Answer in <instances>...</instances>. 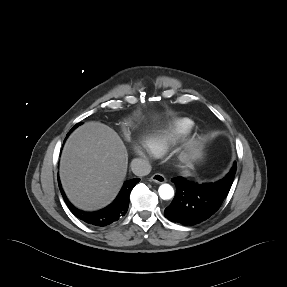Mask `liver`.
<instances>
[{
  "label": "liver",
  "mask_w": 287,
  "mask_h": 287,
  "mask_svg": "<svg viewBox=\"0 0 287 287\" xmlns=\"http://www.w3.org/2000/svg\"><path fill=\"white\" fill-rule=\"evenodd\" d=\"M185 158L201 151L191 145ZM128 154L119 135L100 122H86L67 139L60 158V179L69 200L92 211L108 205L118 194L127 172Z\"/></svg>",
  "instance_id": "1"
}]
</instances>
